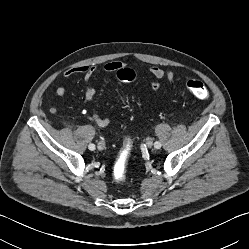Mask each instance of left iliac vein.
<instances>
[{
	"mask_svg": "<svg viewBox=\"0 0 249 249\" xmlns=\"http://www.w3.org/2000/svg\"><path fill=\"white\" fill-rule=\"evenodd\" d=\"M146 145H147L149 148H151V147L153 146V139L150 138V137H148V138L146 139Z\"/></svg>",
	"mask_w": 249,
	"mask_h": 249,
	"instance_id": "obj_1",
	"label": "left iliac vein"
}]
</instances>
